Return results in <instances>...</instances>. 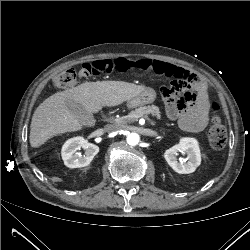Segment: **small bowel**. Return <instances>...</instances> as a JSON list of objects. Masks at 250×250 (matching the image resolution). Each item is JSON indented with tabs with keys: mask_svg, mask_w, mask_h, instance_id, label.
Here are the masks:
<instances>
[{
	"mask_svg": "<svg viewBox=\"0 0 250 250\" xmlns=\"http://www.w3.org/2000/svg\"><path fill=\"white\" fill-rule=\"evenodd\" d=\"M133 66L140 70L152 71L172 78L179 77L182 80L185 78V74L190 72L172 63L149 58H139L133 62ZM181 89L195 90L197 92L196 101L190 105L183 98L175 100L172 97L171 88L165 87L162 93L165 98L166 114L169 119L178 120L184 130L201 132L209 124V101L205 82L200 78L196 83L184 81Z\"/></svg>",
	"mask_w": 250,
	"mask_h": 250,
	"instance_id": "obj_1",
	"label": "small bowel"
}]
</instances>
